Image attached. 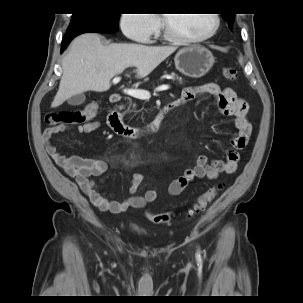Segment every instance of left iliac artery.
I'll list each match as a JSON object with an SVG mask.
<instances>
[{
  "instance_id": "obj_1",
  "label": "left iliac artery",
  "mask_w": 303,
  "mask_h": 303,
  "mask_svg": "<svg viewBox=\"0 0 303 303\" xmlns=\"http://www.w3.org/2000/svg\"><path fill=\"white\" fill-rule=\"evenodd\" d=\"M196 258L198 261H201V255H200V251L198 250L197 254H196Z\"/></svg>"
}]
</instances>
